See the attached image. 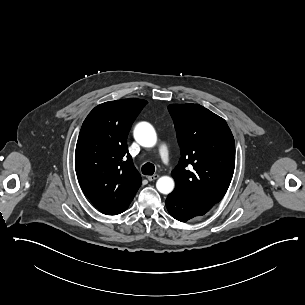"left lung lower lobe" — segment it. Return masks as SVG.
I'll use <instances>...</instances> for the list:
<instances>
[{
	"instance_id": "left-lung-lower-lobe-1",
	"label": "left lung lower lobe",
	"mask_w": 305,
	"mask_h": 305,
	"mask_svg": "<svg viewBox=\"0 0 305 305\" xmlns=\"http://www.w3.org/2000/svg\"><path fill=\"white\" fill-rule=\"evenodd\" d=\"M166 207L175 219L186 222L194 217L204 215L213 206L188 202L172 192L166 199Z\"/></svg>"
}]
</instances>
